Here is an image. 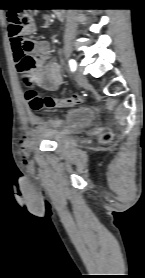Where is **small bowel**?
<instances>
[{
    "label": "small bowel",
    "mask_w": 145,
    "mask_h": 278,
    "mask_svg": "<svg viewBox=\"0 0 145 278\" xmlns=\"http://www.w3.org/2000/svg\"><path fill=\"white\" fill-rule=\"evenodd\" d=\"M34 31L35 23L31 19L27 32L32 34ZM11 50L16 70L22 79L26 75L35 72L37 68H40V85L44 90L56 91L61 86L62 75L59 64L55 61L46 62V56L49 51V44L47 42H40L36 45V58L29 54L23 47L15 44L12 38ZM29 121L31 123H37L38 119L30 113Z\"/></svg>",
    "instance_id": "c3829d8e"
}]
</instances>
